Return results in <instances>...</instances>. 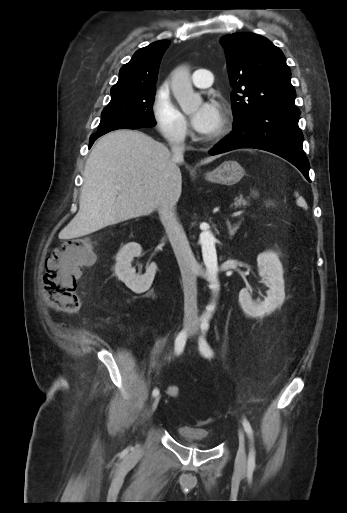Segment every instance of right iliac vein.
Returning <instances> with one entry per match:
<instances>
[{
    "label": "right iliac vein",
    "instance_id": "obj_1",
    "mask_svg": "<svg viewBox=\"0 0 347 513\" xmlns=\"http://www.w3.org/2000/svg\"><path fill=\"white\" fill-rule=\"evenodd\" d=\"M184 329L189 331L191 329V324L190 322H186L185 325H184ZM159 401H160V396H157L154 401L152 402V406H151V409H150V412L151 414L156 410L158 404H159Z\"/></svg>",
    "mask_w": 347,
    "mask_h": 513
}]
</instances>
